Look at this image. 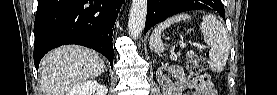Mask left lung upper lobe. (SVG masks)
<instances>
[{
    "mask_svg": "<svg viewBox=\"0 0 277 95\" xmlns=\"http://www.w3.org/2000/svg\"><path fill=\"white\" fill-rule=\"evenodd\" d=\"M181 3L184 5H190V6H197V4H200L197 2V0H181ZM204 6H206V3H203Z\"/></svg>",
    "mask_w": 277,
    "mask_h": 95,
    "instance_id": "1",
    "label": "left lung upper lobe"
}]
</instances>
